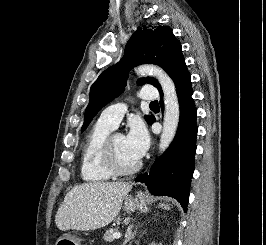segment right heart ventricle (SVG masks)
I'll return each instance as SVG.
<instances>
[{
    "instance_id": "right-heart-ventricle-1",
    "label": "right heart ventricle",
    "mask_w": 266,
    "mask_h": 245,
    "mask_svg": "<svg viewBox=\"0 0 266 245\" xmlns=\"http://www.w3.org/2000/svg\"><path fill=\"white\" fill-rule=\"evenodd\" d=\"M112 129L110 124L97 120L85 138L81 154L80 176L88 184L101 185L113 179L101 162L102 146Z\"/></svg>"
}]
</instances>
